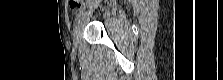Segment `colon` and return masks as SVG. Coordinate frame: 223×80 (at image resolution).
Wrapping results in <instances>:
<instances>
[{
    "instance_id": "obj_1",
    "label": "colon",
    "mask_w": 223,
    "mask_h": 80,
    "mask_svg": "<svg viewBox=\"0 0 223 80\" xmlns=\"http://www.w3.org/2000/svg\"><path fill=\"white\" fill-rule=\"evenodd\" d=\"M83 3V0H69V5L71 8H80Z\"/></svg>"
}]
</instances>
